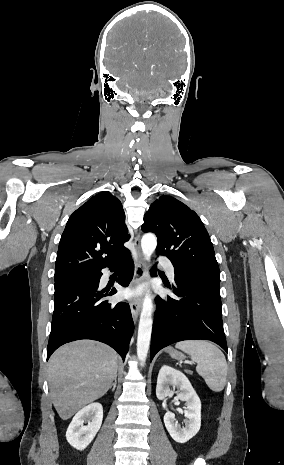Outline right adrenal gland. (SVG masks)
<instances>
[{"mask_svg": "<svg viewBox=\"0 0 284 465\" xmlns=\"http://www.w3.org/2000/svg\"><path fill=\"white\" fill-rule=\"evenodd\" d=\"M117 377H118V375H115V377H114V383H112V387H113L112 391H115V389H116ZM110 389H111V387H110Z\"/></svg>", "mask_w": 284, "mask_h": 465, "instance_id": "2a0ac1e0", "label": "right adrenal gland"}]
</instances>
